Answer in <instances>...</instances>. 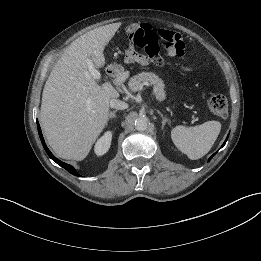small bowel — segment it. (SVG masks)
Instances as JSON below:
<instances>
[{
    "mask_svg": "<svg viewBox=\"0 0 261 261\" xmlns=\"http://www.w3.org/2000/svg\"><path fill=\"white\" fill-rule=\"evenodd\" d=\"M168 54L170 56H175L171 52H168ZM125 60L127 63H135V64H140V65H146L148 63V59L146 58V56L138 53L135 50L132 42L130 43V45L128 46V48L125 51Z\"/></svg>",
    "mask_w": 261,
    "mask_h": 261,
    "instance_id": "c3829d8e",
    "label": "small bowel"
}]
</instances>
